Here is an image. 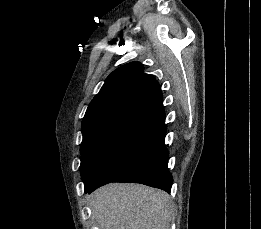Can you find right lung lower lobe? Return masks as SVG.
Listing matches in <instances>:
<instances>
[{
	"instance_id": "obj_1",
	"label": "right lung lower lobe",
	"mask_w": 261,
	"mask_h": 229,
	"mask_svg": "<svg viewBox=\"0 0 261 229\" xmlns=\"http://www.w3.org/2000/svg\"><path fill=\"white\" fill-rule=\"evenodd\" d=\"M165 134L166 126L163 123L149 138L106 168L94 183L85 189L86 193H91L109 182L141 183L169 192L173 179L167 168Z\"/></svg>"
}]
</instances>
